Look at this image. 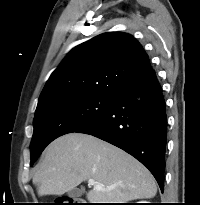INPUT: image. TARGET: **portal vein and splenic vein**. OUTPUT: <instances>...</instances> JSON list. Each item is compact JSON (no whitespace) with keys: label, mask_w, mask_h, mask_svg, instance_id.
Wrapping results in <instances>:
<instances>
[{"label":"portal vein and splenic vein","mask_w":200,"mask_h":205,"mask_svg":"<svg viewBox=\"0 0 200 205\" xmlns=\"http://www.w3.org/2000/svg\"><path fill=\"white\" fill-rule=\"evenodd\" d=\"M88 185L93 186L97 190H106V188L102 184L97 183L93 179L88 180ZM107 189H111V188L108 187Z\"/></svg>","instance_id":"obj_1"}]
</instances>
